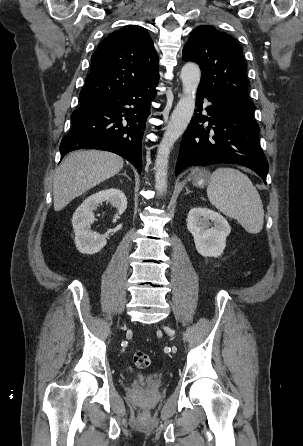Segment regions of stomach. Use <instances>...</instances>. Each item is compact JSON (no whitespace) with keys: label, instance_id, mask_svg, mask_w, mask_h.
<instances>
[{"label":"stomach","instance_id":"obj_1","mask_svg":"<svg viewBox=\"0 0 303 446\" xmlns=\"http://www.w3.org/2000/svg\"><path fill=\"white\" fill-rule=\"evenodd\" d=\"M210 173L206 170L196 173L193 177V184L197 187L206 186L210 182Z\"/></svg>","mask_w":303,"mask_h":446}]
</instances>
